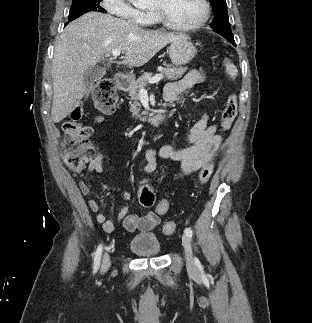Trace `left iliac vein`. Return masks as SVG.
Here are the masks:
<instances>
[{"label":"left iliac vein","mask_w":312,"mask_h":323,"mask_svg":"<svg viewBox=\"0 0 312 323\" xmlns=\"http://www.w3.org/2000/svg\"><path fill=\"white\" fill-rule=\"evenodd\" d=\"M182 245H183L185 253H186L187 268L189 270H192L195 268V265H194V258L192 255V248H191L190 239L187 234H183V236H182Z\"/></svg>","instance_id":"left-iliac-vein-1"}]
</instances>
